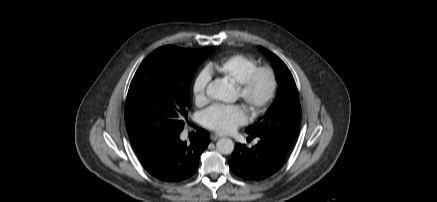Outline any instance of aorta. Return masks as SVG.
Listing matches in <instances>:
<instances>
[{"instance_id": "aorta-1", "label": "aorta", "mask_w": 437, "mask_h": 202, "mask_svg": "<svg viewBox=\"0 0 437 202\" xmlns=\"http://www.w3.org/2000/svg\"><path fill=\"white\" fill-rule=\"evenodd\" d=\"M206 93L210 98L223 102L232 103L237 100L234 85L226 79H216L209 83ZM216 147L221 154H231L234 150V142L229 138H221L217 141Z\"/></svg>"}]
</instances>
